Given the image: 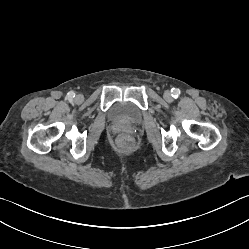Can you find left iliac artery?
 I'll return each mask as SVG.
<instances>
[{
  "label": "left iliac artery",
  "instance_id": "left-iliac-artery-1",
  "mask_svg": "<svg viewBox=\"0 0 249 249\" xmlns=\"http://www.w3.org/2000/svg\"><path fill=\"white\" fill-rule=\"evenodd\" d=\"M171 92L174 98H177L180 95V90L178 88H173Z\"/></svg>",
  "mask_w": 249,
  "mask_h": 249
}]
</instances>
